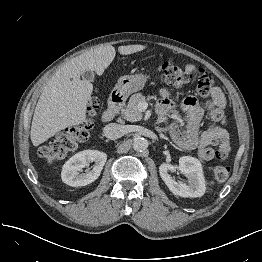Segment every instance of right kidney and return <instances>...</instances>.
Returning a JSON list of instances; mask_svg holds the SVG:
<instances>
[{
    "instance_id": "1",
    "label": "right kidney",
    "mask_w": 262,
    "mask_h": 262,
    "mask_svg": "<svg viewBox=\"0 0 262 262\" xmlns=\"http://www.w3.org/2000/svg\"><path fill=\"white\" fill-rule=\"evenodd\" d=\"M107 160L104 152L84 150L72 156L64 165L61 172L62 181L72 187H81L94 182L99 176ZM87 162H94L93 169L79 173Z\"/></svg>"
}]
</instances>
